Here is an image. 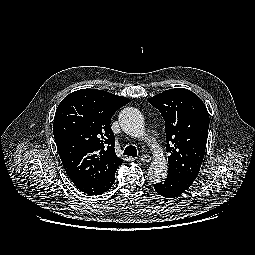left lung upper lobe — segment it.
I'll use <instances>...</instances> for the list:
<instances>
[{"instance_id":"5c2ea615","label":"left lung upper lobe","mask_w":255,"mask_h":255,"mask_svg":"<svg viewBox=\"0 0 255 255\" xmlns=\"http://www.w3.org/2000/svg\"><path fill=\"white\" fill-rule=\"evenodd\" d=\"M165 120L168 176L193 183L203 162L209 114L203 101L185 88L163 91L148 99Z\"/></svg>"}]
</instances>
